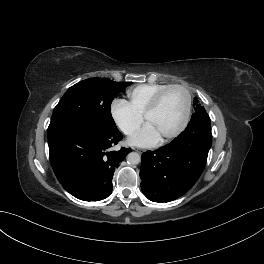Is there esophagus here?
<instances>
[{"label": "esophagus", "instance_id": "obj_1", "mask_svg": "<svg viewBox=\"0 0 264 264\" xmlns=\"http://www.w3.org/2000/svg\"><path fill=\"white\" fill-rule=\"evenodd\" d=\"M133 150H135V151L138 152V153H142V152H143V150H140V149H138V148H133Z\"/></svg>", "mask_w": 264, "mask_h": 264}]
</instances>
